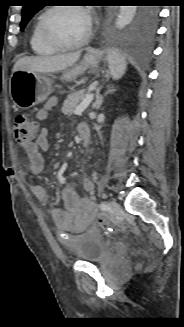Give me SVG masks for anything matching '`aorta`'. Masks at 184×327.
I'll return each mask as SVG.
<instances>
[{"label":"aorta","mask_w":184,"mask_h":327,"mask_svg":"<svg viewBox=\"0 0 184 327\" xmlns=\"http://www.w3.org/2000/svg\"><path fill=\"white\" fill-rule=\"evenodd\" d=\"M136 6H121L119 9V16H117L116 27L122 29L129 25L136 15Z\"/></svg>","instance_id":"762f6f07"}]
</instances>
